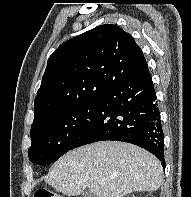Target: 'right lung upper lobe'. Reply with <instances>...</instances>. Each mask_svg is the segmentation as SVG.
<instances>
[{
    "instance_id": "cb5924a9",
    "label": "right lung upper lobe",
    "mask_w": 191,
    "mask_h": 197,
    "mask_svg": "<svg viewBox=\"0 0 191 197\" xmlns=\"http://www.w3.org/2000/svg\"><path fill=\"white\" fill-rule=\"evenodd\" d=\"M146 67L132 36L113 24L64 42L48 59L31 127L72 106L98 101L109 86Z\"/></svg>"
}]
</instances>
